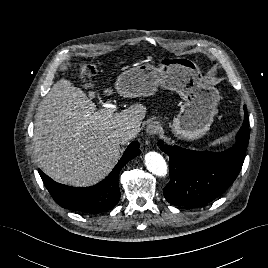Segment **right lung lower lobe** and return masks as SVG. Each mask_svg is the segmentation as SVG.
I'll return each mask as SVG.
<instances>
[{
	"label": "right lung lower lobe",
	"instance_id": "right-lung-lower-lobe-1",
	"mask_svg": "<svg viewBox=\"0 0 268 268\" xmlns=\"http://www.w3.org/2000/svg\"><path fill=\"white\" fill-rule=\"evenodd\" d=\"M139 154V143L133 141L111 173L103 181L91 187H70L56 183L41 170L39 174L57 204L77 212L97 214L111 209L118 203L120 199L119 172L128 161Z\"/></svg>",
	"mask_w": 268,
	"mask_h": 268
}]
</instances>
